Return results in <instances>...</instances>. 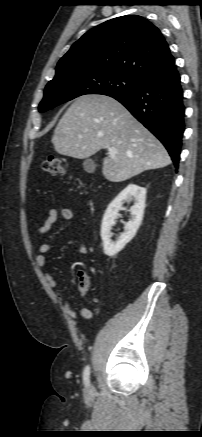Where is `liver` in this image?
I'll use <instances>...</instances> for the list:
<instances>
[{
	"label": "liver",
	"mask_w": 202,
	"mask_h": 437,
	"mask_svg": "<svg viewBox=\"0 0 202 437\" xmlns=\"http://www.w3.org/2000/svg\"><path fill=\"white\" fill-rule=\"evenodd\" d=\"M56 152L78 159L114 148L104 158L102 172L110 182H122L145 170L171 163L161 142L115 99L83 95L60 119L52 137Z\"/></svg>",
	"instance_id": "6515ba94"
}]
</instances>
